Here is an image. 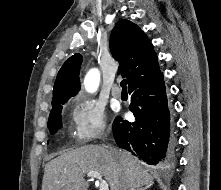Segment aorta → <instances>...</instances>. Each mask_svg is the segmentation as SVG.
I'll use <instances>...</instances> for the list:
<instances>
[{
  "label": "aorta",
  "instance_id": "obj_1",
  "mask_svg": "<svg viewBox=\"0 0 221 190\" xmlns=\"http://www.w3.org/2000/svg\"><path fill=\"white\" fill-rule=\"evenodd\" d=\"M100 81V75L98 70L93 69L85 77L84 85L88 92H94L97 90Z\"/></svg>",
  "mask_w": 221,
  "mask_h": 190
}]
</instances>
